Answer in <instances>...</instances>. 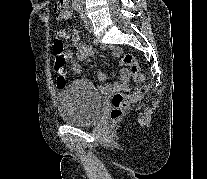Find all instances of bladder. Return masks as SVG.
Wrapping results in <instances>:
<instances>
[{
	"label": "bladder",
	"mask_w": 207,
	"mask_h": 179,
	"mask_svg": "<svg viewBox=\"0 0 207 179\" xmlns=\"http://www.w3.org/2000/svg\"><path fill=\"white\" fill-rule=\"evenodd\" d=\"M62 120L74 126L92 124L100 116L102 99L95 86L86 80L76 81L56 97Z\"/></svg>",
	"instance_id": "31cf9c89"
}]
</instances>
